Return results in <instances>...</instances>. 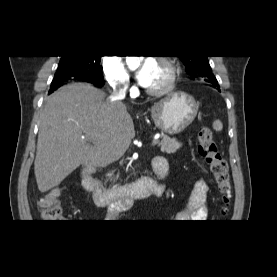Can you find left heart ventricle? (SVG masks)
Instances as JSON below:
<instances>
[{
    "label": "left heart ventricle",
    "mask_w": 277,
    "mask_h": 277,
    "mask_svg": "<svg viewBox=\"0 0 277 277\" xmlns=\"http://www.w3.org/2000/svg\"><path fill=\"white\" fill-rule=\"evenodd\" d=\"M167 79V70L159 62L156 63L149 88H156L164 84Z\"/></svg>",
    "instance_id": "1"
}]
</instances>
